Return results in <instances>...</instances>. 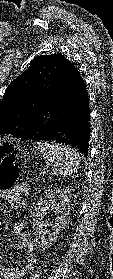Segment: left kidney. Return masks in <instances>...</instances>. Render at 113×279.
<instances>
[{"label":"left kidney","mask_w":113,"mask_h":279,"mask_svg":"<svg viewBox=\"0 0 113 279\" xmlns=\"http://www.w3.org/2000/svg\"><path fill=\"white\" fill-rule=\"evenodd\" d=\"M70 198V188L50 187L37 203L38 208L33 213V231L37 246L43 250L48 249L56 242L60 232L66 226L70 210ZM49 208L54 211L56 218L55 222L51 224L52 232H48L46 235L43 230V214Z\"/></svg>","instance_id":"5707ae66"}]
</instances>
